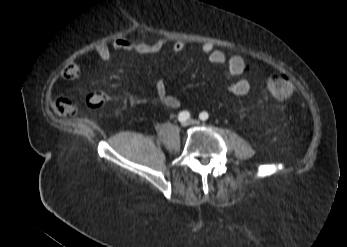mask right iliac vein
Masks as SVG:
<instances>
[{
	"label": "right iliac vein",
	"mask_w": 347,
	"mask_h": 247,
	"mask_svg": "<svg viewBox=\"0 0 347 247\" xmlns=\"http://www.w3.org/2000/svg\"><path fill=\"white\" fill-rule=\"evenodd\" d=\"M190 125V121H186V122H183L182 123V126L183 127H187V126H189Z\"/></svg>",
	"instance_id": "obj_1"
}]
</instances>
